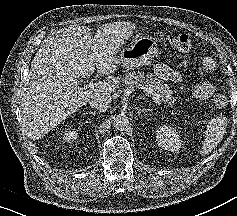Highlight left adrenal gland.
Masks as SVG:
<instances>
[{"instance_id": "1", "label": "left adrenal gland", "mask_w": 237, "mask_h": 216, "mask_svg": "<svg viewBox=\"0 0 237 216\" xmlns=\"http://www.w3.org/2000/svg\"><path fill=\"white\" fill-rule=\"evenodd\" d=\"M136 110L138 111V115H140L142 112L146 111L145 108H143V109L136 108Z\"/></svg>"}]
</instances>
